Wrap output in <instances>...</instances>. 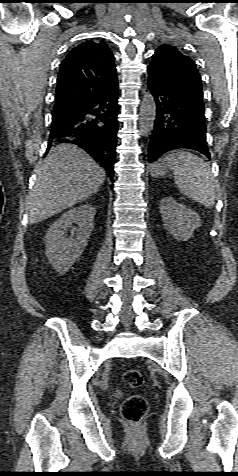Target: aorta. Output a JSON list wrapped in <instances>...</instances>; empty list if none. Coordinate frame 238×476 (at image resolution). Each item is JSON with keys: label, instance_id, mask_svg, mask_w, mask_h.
I'll return each mask as SVG.
<instances>
[{"label": "aorta", "instance_id": "1", "mask_svg": "<svg viewBox=\"0 0 238 476\" xmlns=\"http://www.w3.org/2000/svg\"><path fill=\"white\" fill-rule=\"evenodd\" d=\"M156 105L153 95L148 91L144 93L140 106L139 132L141 136H148L154 126Z\"/></svg>", "mask_w": 238, "mask_h": 476}]
</instances>
